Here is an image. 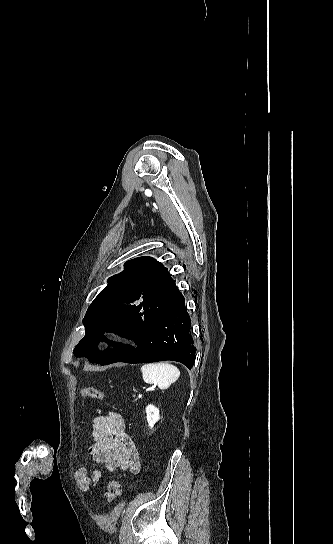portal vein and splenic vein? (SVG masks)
<instances>
[{
	"instance_id": "obj_1",
	"label": "portal vein and splenic vein",
	"mask_w": 333,
	"mask_h": 544,
	"mask_svg": "<svg viewBox=\"0 0 333 544\" xmlns=\"http://www.w3.org/2000/svg\"><path fill=\"white\" fill-rule=\"evenodd\" d=\"M155 387H156L155 385L151 386V387L147 388L146 391L154 390Z\"/></svg>"
}]
</instances>
